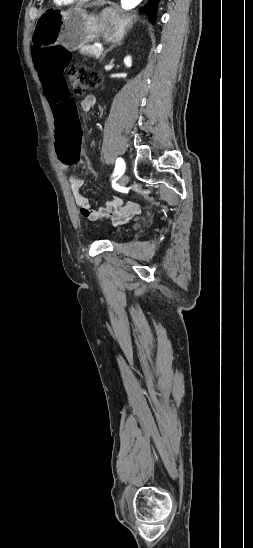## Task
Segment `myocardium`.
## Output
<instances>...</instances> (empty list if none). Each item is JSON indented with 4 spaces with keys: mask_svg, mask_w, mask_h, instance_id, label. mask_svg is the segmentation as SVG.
Masks as SVG:
<instances>
[{
    "mask_svg": "<svg viewBox=\"0 0 253 548\" xmlns=\"http://www.w3.org/2000/svg\"><path fill=\"white\" fill-rule=\"evenodd\" d=\"M76 1H102V0H76Z\"/></svg>",
    "mask_w": 253,
    "mask_h": 548,
    "instance_id": "1",
    "label": "myocardium"
}]
</instances>
